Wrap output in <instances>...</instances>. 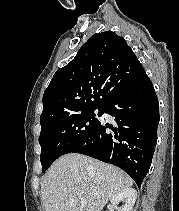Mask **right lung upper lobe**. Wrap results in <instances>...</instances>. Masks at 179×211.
<instances>
[{"instance_id": "1", "label": "right lung upper lobe", "mask_w": 179, "mask_h": 211, "mask_svg": "<svg viewBox=\"0 0 179 211\" xmlns=\"http://www.w3.org/2000/svg\"><path fill=\"white\" fill-rule=\"evenodd\" d=\"M144 73L124 38L112 31L92 35L45 90L41 127L61 116L104 108Z\"/></svg>"}]
</instances>
